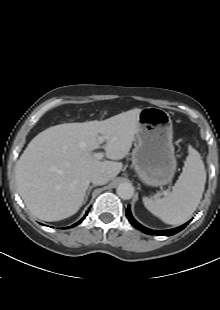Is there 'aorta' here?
Segmentation results:
<instances>
[{
	"mask_svg": "<svg viewBox=\"0 0 220 310\" xmlns=\"http://www.w3.org/2000/svg\"><path fill=\"white\" fill-rule=\"evenodd\" d=\"M116 192L120 198L129 200L133 197L134 188L130 183L124 182L118 185Z\"/></svg>",
	"mask_w": 220,
	"mask_h": 310,
	"instance_id": "obj_1",
	"label": "aorta"
}]
</instances>
